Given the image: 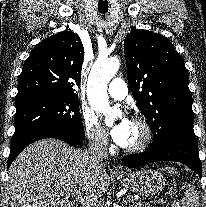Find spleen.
Here are the masks:
<instances>
[{
    "instance_id": "3e777b00",
    "label": "spleen",
    "mask_w": 206,
    "mask_h": 207,
    "mask_svg": "<svg viewBox=\"0 0 206 207\" xmlns=\"http://www.w3.org/2000/svg\"><path fill=\"white\" fill-rule=\"evenodd\" d=\"M162 171H167L172 174L177 173V171L171 167L162 168ZM199 202L198 192L191 185H188L181 201V207H199Z\"/></svg>"
}]
</instances>
